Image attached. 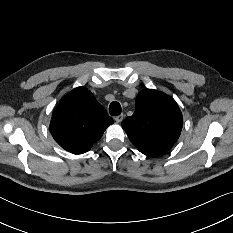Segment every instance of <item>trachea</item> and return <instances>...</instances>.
<instances>
[{"label":"trachea","mask_w":233,"mask_h":233,"mask_svg":"<svg viewBox=\"0 0 233 233\" xmlns=\"http://www.w3.org/2000/svg\"><path fill=\"white\" fill-rule=\"evenodd\" d=\"M121 110V105L118 102H111L109 105V113L113 116L120 115Z\"/></svg>","instance_id":"trachea-1"}]
</instances>
